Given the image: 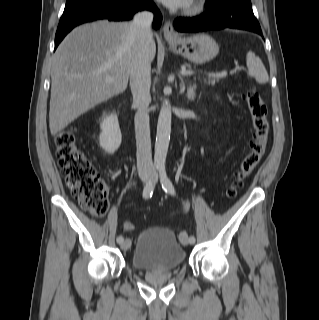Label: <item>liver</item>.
<instances>
[{
	"label": "liver",
	"instance_id": "1",
	"mask_svg": "<svg viewBox=\"0 0 319 320\" xmlns=\"http://www.w3.org/2000/svg\"><path fill=\"white\" fill-rule=\"evenodd\" d=\"M130 23L106 20L80 25L60 43L51 65L49 128L52 135L128 85L134 42ZM155 41L149 45L152 61Z\"/></svg>",
	"mask_w": 319,
	"mask_h": 320
}]
</instances>
